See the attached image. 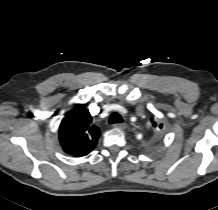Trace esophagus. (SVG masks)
Returning <instances> with one entry per match:
<instances>
[{
	"label": "esophagus",
	"mask_w": 218,
	"mask_h": 210,
	"mask_svg": "<svg viewBox=\"0 0 218 210\" xmlns=\"http://www.w3.org/2000/svg\"><path fill=\"white\" fill-rule=\"evenodd\" d=\"M115 127L120 130H125L127 128V125L125 123H119V124H116Z\"/></svg>",
	"instance_id": "1"
}]
</instances>
